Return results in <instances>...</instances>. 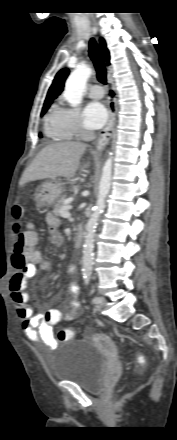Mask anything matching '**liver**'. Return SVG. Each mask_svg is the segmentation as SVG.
<instances>
[{
  "label": "liver",
  "mask_w": 177,
  "mask_h": 440,
  "mask_svg": "<svg viewBox=\"0 0 177 440\" xmlns=\"http://www.w3.org/2000/svg\"><path fill=\"white\" fill-rule=\"evenodd\" d=\"M85 149V144L74 141L44 147L24 171L20 184L56 177H73Z\"/></svg>",
  "instance_id": "6515ba94"
}]
</instances>
